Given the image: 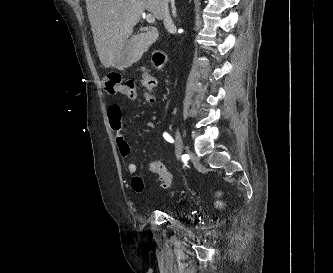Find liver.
Returning <instances> with one entry per match:
<instances>
[{
    "instance_id": "liver-1",
    "label": "liver",
    "mask_w": 333,
    "mask_h": 273,
    "mask_svg": "<svg viewBox=\"0 0 333 273\" xmlns=\"http://www.w3.org/2000/svg\"><path fill=\"white\" fill-rule=\"evenodd\" d=\"M161 0H86L94 44L102 65L108 68L120 57L143 11L162 20Z\"/></svg>"
}]
</instances>
